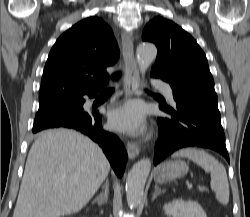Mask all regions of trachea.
I'll return each mask as SVG.
<instances>
[{
    "label": "trachea",
    "instance_id": "3493384b",
    "mask_svg": "<svg viewBox=\"0 0 250 217\" xmlns=\"http://www.w3.org/2000/svg\"><path fill=\"white\" fill-rule=\"evenodd\" d=\"M121 76V72H117L113 75V78L115 80H118ZM114 91V88H108V89H105L104 92H113Z\"/></svg>",
    "mask_w": 250,
    "mask_h": 217
}]
</instances>
